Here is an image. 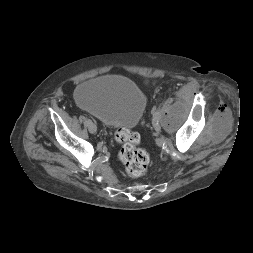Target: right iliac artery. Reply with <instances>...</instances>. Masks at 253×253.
Here are the masks:
<instances>
[{"instance_id": "obj_1", "label": "right iliac artery", "mask_w": 253, "mask_h": 253, "mask_svg": "<svg viewBox=\"0 0 253 253\" xmlns=\"http://www.w3.org/2000/svg\"><path fill=\"white\" fill-rule=\"evenodd\" d=\"M85 121H86V123H87V126H89V124L91 123V120L86 119Z\"/></svg>"}]
</instances>
